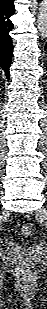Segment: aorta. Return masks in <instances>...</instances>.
<instances>
[{
	"label": "aorta",
	"instance_id": "obj_1",
	"mask_svg": "<svg viewBox=\"0 0 47 309\" xmlns=\"http://www.w3.org/2000/svg\"><path fill=\"white\" fill-rule=\"evenodd\" d=\"M37 28L41 37L45 38L47 35V6L44 3L39 11Z\"/></svg>",
	"mask_w": 47,
	"mask_h": 309
}]
</instances>
